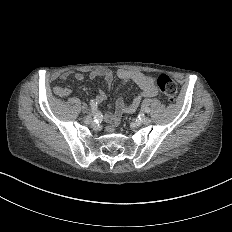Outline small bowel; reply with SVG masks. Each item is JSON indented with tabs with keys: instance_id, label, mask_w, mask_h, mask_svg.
<instances>
[{
	"instance_id": "obj_1",
	"label": "small bowel",
	"mask_w": 232,
	"mask_h": 232,
	"mask_svg": "<svg viewBox=\"0 0 232 232\" xmlns=\"http://www.w3.org/2000/svg\"><path fill=\"white\" fill-rule=\"evenodd\" d=\"M115 75L121 80V82H128V81H134L141 89V94L147 97H157L158 91L154 87L155 82V76L152 74H145L139 70L135 69H118L116 71L112 69H97L91 71L92 77H103L108 83H112L114 80ZM70 78H73L76 81H82L83 80V74L80 72H74V71H65L62 72L60 75V79L63 81H66ZM53 90L55 92H61V93H69L71 91V88L69 86H58L54 87ZM113 93L119 92V87H113L112 88ZM141 94L136 95L131 103L126 106L124 103V98L120 97L117 103V108L115 114H107L105 116L106 120L109 123V126H107L104 131L108 134H114L116 132V125L118 124V120L123 113H131L134 111L137 106L139 105L141 101ZM106 99V93L104 88L100 87L97 93V100L99 102H103Z\"/></svg>"
}]
</instances>
